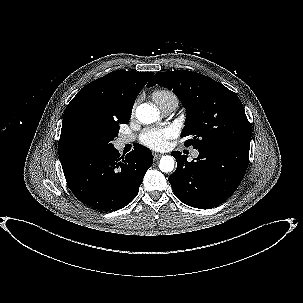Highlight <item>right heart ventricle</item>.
<instances>
[{
	"mask_svg": "<svg viewBox=\"0 0 303 303\" xmlns=\"http://www.w3.org/2000/svg\"><path fill=\"white\" fill-rule=\"evenodd\" d=\"M152 98L160 108L168 104H172L175 106L178 105L177 96L172 91L167 89L155 90L152 93Z\"/></svg>",
	"mask_w": 303,
	"mask_h": 303,
	"instance_id": "e07e8e85",
	"label": "right heart ventricle"
}]
</instances>
